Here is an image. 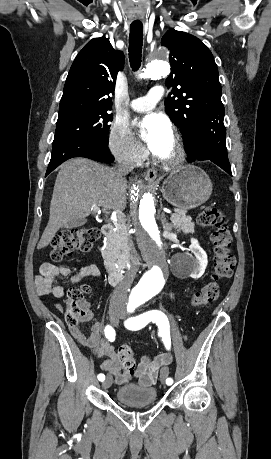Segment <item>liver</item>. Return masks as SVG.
Wrapping results in <instances>:
<instances>
[{
  "mask_svg": "<svg viewBox=\"0 0 271 459\" xmlns=\"http://www.w3.org/2000/svg\"><path fill=\"white\" fill-rule=\"evenodd\" d=\"M127 180L87 158H72L62 164L54 184L49 222L37 245L46 247L56 231L74 218H87L92 208L125 210Z\"/></svg>",
  "mask_w": 271,
  "mask_h": 459,
  "instance_id": "6515ba94",
  "label": "liver"
}]
</instances>
